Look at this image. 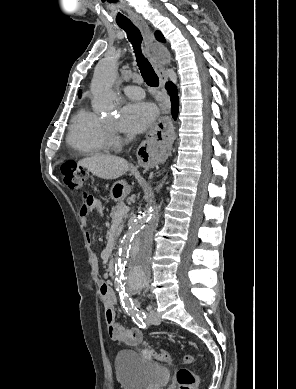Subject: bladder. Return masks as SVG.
Wrapping results in <instances>:
<instances>
[{"instance_id":"bladder-1","label":"bladder","mask_w":296,"mask_h":389,"mask_svg":"<svg viewBox=\"0 0 296 389\" xmlns=\"http://www.w3.org/2000/svg\"><path fill=\"white\" fill-rule=\"evenodd\" d=\"M115 371L122 389H160L170 377L168 368L145 360L132 350L117 353Z\"/></svg>"}]
</instances>
